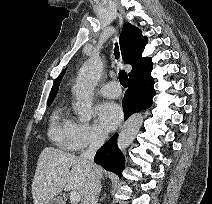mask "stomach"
<instances>
[{
	"label": "stomach",
	"instance_id": "1",
	"mask_svg": "<svg viewBox=\"0 0 212 204\" xmlns=\"http://www.w3.org/2000/svg\"><path fill=\"white\" fill-rule=\"evenodd\" d=\"M47 204H62L59 199H51Z\"/></svg>",
	"mask_w": 212,
	"mask_h": 204
}]
</instances>
